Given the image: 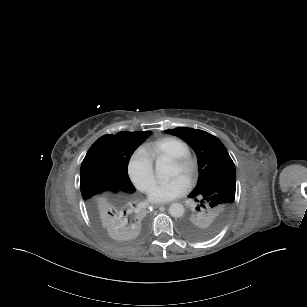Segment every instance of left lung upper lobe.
Instances as JSON below:
<instances>
[{"mask_svg": "<svg viewBox=\"0 0 307 307\" xmlns=\"http://www.w3.org/2000/svg\"><path fill=\"white\" fill-rule=\"evenodd\" d=\"M185 140L198 158L199 179L189 197L197 207L180 222L192 240H206L224 226L235 199V165L223 143L212 134L193 128L165 130Z\"/></svg>", "mask_w": 307, "mask_h": 307, "instance_id": "5c2ea615", "label": "left lung upper lobe"}]
</instances>
